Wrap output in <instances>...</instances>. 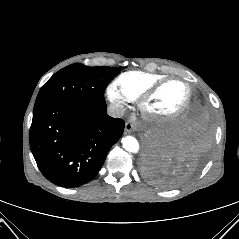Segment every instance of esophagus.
Segmentation results:
<instances>
[{"mask_svg": "<svg viewBox=\"0 0 239 239\" xmlns=\"http://www.w3.org/2000/svg\"><path fill=\"white\" fill-rule=\"evenodd\" d=\"M135 129H137L136 125L133 124L132 122H126L125 123V132L126 133H131L132 131H134Z\"/></svg>", "mask_w": 239, "mask_h": 239, "instance_id": "obj_1", "label": "esophagus"}]
</instances>
